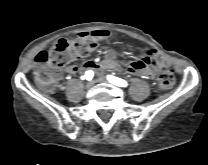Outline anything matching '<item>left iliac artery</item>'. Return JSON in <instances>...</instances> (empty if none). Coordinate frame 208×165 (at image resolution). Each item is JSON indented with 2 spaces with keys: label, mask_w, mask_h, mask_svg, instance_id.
<instances>
[{
  "label": "left iliac artery",
  "mask_w": 208,
  "mask_h": 165,
  "mask_svg": "<svg viewBox=\"0 0 208 165\" xmlns=\"http://www.w3.org/2000/svg\"><path fill=\"white\" fill-rule=\"evenodd\" d=\"M107 79L109 80V82H111L112 84H115L117 86H120V87H126L127 86V82L125 80L114 77L112 75H108Z\"/></svg>",
  "instance_id": "1"
}]
</instances>
